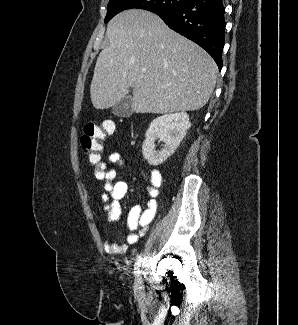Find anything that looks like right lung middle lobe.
<instances>
[{
	"mask_svg": "<svg viewBox=\"0 0 298 325\" xmlns=\"http://www.w3.org/2000/svg\"><path fill=\"white\" fill-rule=\"evenodd\" d=\"M189 1L190 0H112L108 4L105 23L111 20L116 14L126 9L138 8L152 12L158 10H175L184 6Z\"/></svg>",
	"mask_w": 298,
	"mask_h": 325,
	"instance_id": "dd1d6c3e",
	"label": "right lung middle lobe"
}]
</instances>
